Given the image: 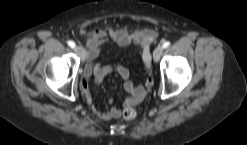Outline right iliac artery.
Segmentation results:
<instances>
[{"mask_svg":"<svg viewBox=\"0 0 247 145\" xmlns=\"http://www.w3.org/2000/svg\"><path fill=\"white\" fill-rule=\"evenodd\" d=\"M67 43L71 48L75 47V43L73 41H68Z\"/></svg>","mask_w":247,"mask_h":145,"instance_id":"obj_1","label":"right iliac artery"}]
</instances>
